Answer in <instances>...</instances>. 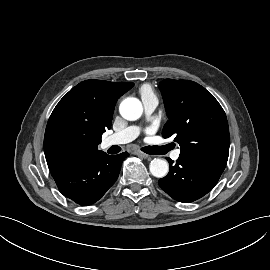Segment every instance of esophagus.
I'll return each instance as SVG.
<instances>
[{"label": "esophagus", "mask_w": 270, "mask_h": 270, "mask_svg": "<svg viewBox=\"0 0 270 270\" xmlns=\"http://www.w3.org/2000/svg\"><path fill=\"white\" fill-rule=\"evenodd\" d=\"M135 154L137 155V156H139V157H142V158H145V159H147V158H149L150 156L148 155V154H146V153H144V152H135Z\"/></svg>", "instance_id": "esophagus-1"}]
</instances>
